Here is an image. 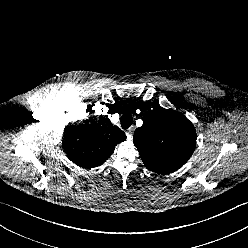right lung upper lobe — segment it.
Returning a JSON list of instances; mask_svg holds the SVG:
<instances>
[{
    "instance_id": "1",
    "label": "right lung upper lobe",
    "mask_w": 248,
    "mask_h": 248,
    "mask_svg": "<svg viewBox=\"0 0 248 248\" xmlns=\"http://www.w3.org/2000/svg\"><path fill=\"white\" fill-rule=\"evenodd\" d=\"M126 135L107 116H95L78 126H66L63 147L68 158L80 167L103 164Z\"/></svg>"
}]
</instances>
